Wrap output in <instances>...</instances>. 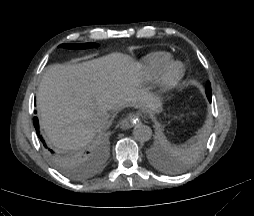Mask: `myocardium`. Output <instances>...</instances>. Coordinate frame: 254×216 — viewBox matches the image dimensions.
<instances>
[{
    "label": "myocardium",
    "mask_w": 254,
    "mask_h": 216,
    "mask_svg": "<svg viewBox=\"0 0 254 216\" xmlns=\"http://www.w3.org/2000/svg\"><path fill=\"white\" fill-rule=\"evenodd\" d=\"M184 73V65L180 61H170L164 66L158 76L157 97H164L173 88Z\"/></svg>",
    "instance_id": "obj_1"
}]
</instances>
